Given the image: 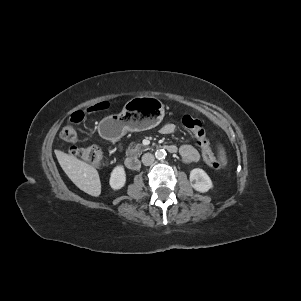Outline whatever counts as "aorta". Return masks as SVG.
Wrapping results in <instances>:
<instances>
[{
	"instance_id": "1",
	"label": "aorta",
	"mask_w": 301,
	"mask_h": 301,
	"mask_svg": "<svg viewBox=\"0 0 301 301\" xmlns=\"http://www.w3.org/2000/svg\"><path fill=\"white\" fill-rule=\"evenodd\" d=\"M166 151L164 149H158L156 150L155 152V157L158 159V160H163L166 158Z\"/></svg>"
}]
</instances>
